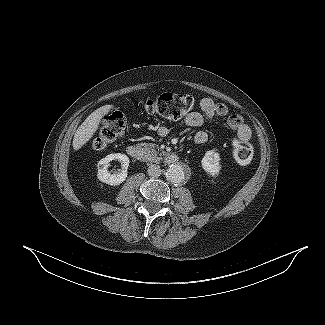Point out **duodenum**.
<instances>
[{
  "label": "duodenum",
  "mask_w": 325,
  "mask_h": 325,
  "mask_svg": "<svg viewBox=\"0 0 325 325\" xmlns=\"http://www.w3.org/2000/svg\"><path fill=\"white\" fill-rule=\"evenodd\" d=\"M127 153L132 158L138 161H145L146 160V153L143 151L141 146L138 144H131L127 147ZM178 155L175 153H168L165 157V163L170 165L174 164L178 161Z\"/></svg>",
  "instance_id": "410a0bca"
}]
</instances>
